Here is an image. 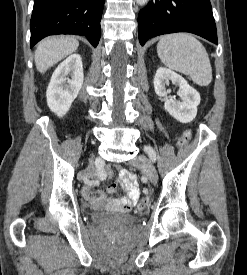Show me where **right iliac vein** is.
Here are the masks:
<instances>
[{"instance_id":"obj_1","label":"right iliac vein","mask_w":247,"mask_h":275,"mask_svg":"<svg viewBox=\"0 0 247 275\" xmlns=\"http://www.w3.org/2000/svg\"><path fill=\"white\" fill-rule=\"evenodd\" d=\"M88 174H89L90 176H93L94 170H93L92 168H89V169H88Z\"/></svg>"}]
</instances>
